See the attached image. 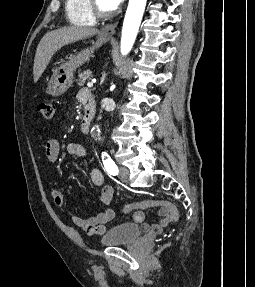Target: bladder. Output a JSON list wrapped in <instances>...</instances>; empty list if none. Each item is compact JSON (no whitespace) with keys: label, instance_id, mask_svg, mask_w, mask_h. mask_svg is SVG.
Wrapping results in <instances>:
<instances>
[{"label":"bladder","instance_id":"obj_1","mask_svg":"<svg viewBox=\"0 0 255 287\" xmlns=\"http://www.w3.org/2000/svg\"><path fill=\"white\" fill-rule=\"evenodd\" d=\"M143 233L142 226L132 222H123L111 227L101 237L100 242L104 246L129 244L135 242Z\"/></svg>","mask_w":255,"mask_h":287}]
</instances>
